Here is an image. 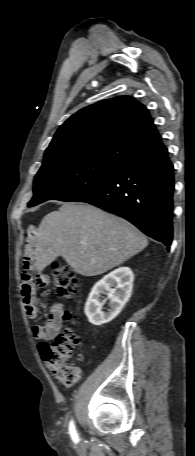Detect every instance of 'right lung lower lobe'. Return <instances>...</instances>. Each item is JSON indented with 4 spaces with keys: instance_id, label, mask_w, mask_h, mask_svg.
Returning <instances> with one entry per match:
<instances>
[{
    "instance_id": "obj_1",
    "label": "right lung lower lobe",
    "mask_w": 195,
    "mask_h": 456,
    "mask_svg": "<svg viewBox=\"0 0 195 456\" xmlns=\"http://www.w3.org/2000/svg\"><path fill=\"white\" fill-rule=\"evenodd\" d=\"M174 168L163 148L122 165L108 181L73 202L121 216L146 235L171 245Z\"/></svg>"
}]
</instances>
